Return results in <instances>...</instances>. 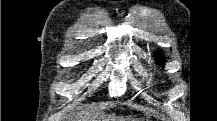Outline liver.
Instances as JSON below:
<instances>
[{"label":"liver","instance_id":"obj_1","mask_svg":"<svg viewBox=\"0 0 217 121\" xmlns=\"http://www.w3.org/2000/svg\"><path fill=\"white\" fill-rule=\"evenodd\" d=\"M83 119H84L83 121H98L97 120L98 118L96 115H93V116L88 115V116L84 117ZM87 119H90V120H87Z\"/></svg>","mask_w":217,"mask_h":121}]
</instances>
